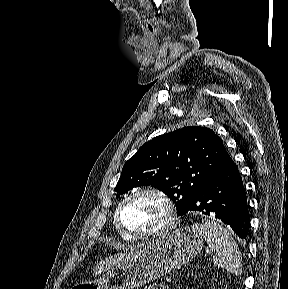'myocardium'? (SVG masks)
Returning <instances> with one entry per match:
<instances>
[{
	"instance_id": "1",
	"label": "myocardium",
	"mask_w": 288,
	"mask_h": 289,
	"mask_svg": "<svg viewBox=\"0 0 288 289\" xmlns=\"http://www.w3.org/2000/svg\"><path fill=\"white\" fill-rule=\"evenodd\" d=\"M142 195H152V196L157 197L159 200H161V202L165 206L166 217H165L164 224L158 229L151 231V232H146V233H136V232L130 231L129 229L125 227L122 221V214H123L124 209L134 199ZM176 223H177V210H176V206L174 202L166 193L155 188L145 187V188H141L133 192L121 202V204L119 205L116 211V224L119 230L128 238L133 239V240H150V239L160 238L168 234L169 232H171L176 227Z\"/></svg>"
}]
</instances>
